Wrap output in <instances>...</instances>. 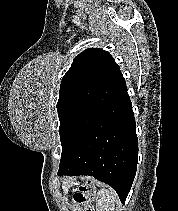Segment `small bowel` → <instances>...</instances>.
Masks as SVG:
<instances>
[{"mask_svg": "<svg viewBox=\"0 0 178 211\" xmlns=\"http://www.w3.org/2000/svg\"><path fill=\"white\" fill-rule=\"evenodd\" d=\"M73 211H85V210L83 208H80L78 205H75Z\"/></svg>", "mask_w": 178, "mask_h": 211, "instance_id": "1", "label": "small bowel"}]
</instances>
